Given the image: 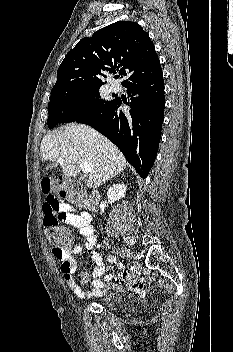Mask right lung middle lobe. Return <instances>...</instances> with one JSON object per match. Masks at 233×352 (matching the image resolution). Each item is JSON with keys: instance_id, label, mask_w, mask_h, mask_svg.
<instances>
[{"instance_id": "right-lung-middle-lobe-1", "label": "right lung middle lobe", "mask_w": 233, "mask_h": 352, "mask_svg": "<svg viewBox=\"0 0 233 352\" xmlns=\"http://www.w3.org/2000/svg\"><path fill=\"white\" fill-rule=\"evenodd\" d=\"M100 87L101 85H88L52 88L48 105V127L51 129L58 123L78 122L106 107L112 100L100 98Z\"/></svg>"}]
</instances>
